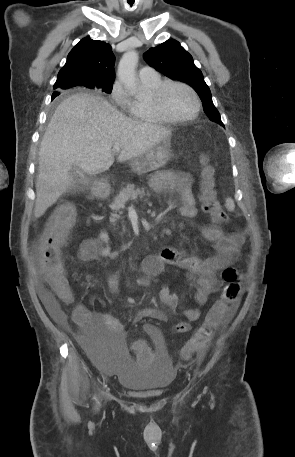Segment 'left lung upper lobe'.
<instances>
[{
    "label": "left lung upper lobe",
    "mask_w": 295,
    "mask_h": 457,
    "mask_svg": "<svg viewBox=\"0 0 295 457\" xmlns=\"http://www.w3.org/2000/svg\"><path fill=\"white\" fill-rule=\"evenodd\" d=\"M144 59L163 75L190 85L201 98L204 112L210 120L223 125L202 72L178 41L169 39L155 48H150L144 53Z\"/></svg>",
    "instance_id": "obj_1"
}]
</instances>
